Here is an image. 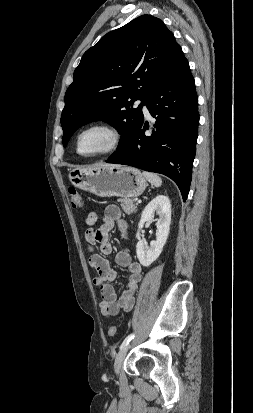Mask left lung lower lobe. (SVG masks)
<instances>
[{"label": "left lung lower lobe", "instance_id": "0a47b994", "mask_svg": "<svg viewBox=\"0 0 253 413\" xmlns=\"http://www.w3.org/2000/svg\"><path fill=\"white\" fill-rule=\"evenodd\" d=\"M146 107L156 119L152 134L142 118L130 144L106 162L133 166L171 178L186 201L192 177L199 123L198 97L181 47Z\"/></svg>", "mask_w": 253, "mask_h": 413}]
</instances>
